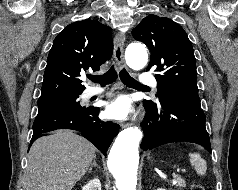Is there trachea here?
Wrapping results in <instances>:
<instances>
[{
    "label": "trachea",
    "mask_w": 238,
    "mask_h": 190,
    "mask_svg": "<svg viewBox=\"0 0 238 190\" xmlns=\"http://www.w3.org/2000/svg\"><path fill=\"white\" fill-rule=\"evenodd\" d=\"M119 76L121 81L128 87H135V88H147L149 89V87L140 84L139 82H137L134 78H132L129 73L126 71V69H122L119 72ZM117 78V72L114 68V66H112L106 73H104L103 75H99V76H90L89 79L93 82L99 83L101 86H105L108 84L113 83Z\"/></svg>",
    "instance_id": "obj_1"
}]
</instances>
